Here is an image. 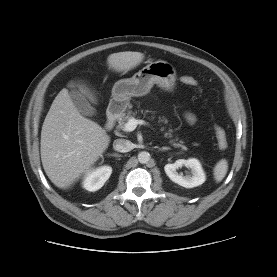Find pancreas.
I'll list each match as a JSON object with an SVG mask.
<instances>
[{
	"instance_id": "cf45deb5",
	"label": "pancreas",
	"mask_w": 277,
	"mask_h": 277,
	"mask_svg": "<svg viewBox=\"0 0 277 277\" xmlns=\"http://www.w3.org/2000/svg\"><path fill=\"white\" fill-rule=\"evenodd\" d=\"M135 115L134 112H132L131 110H127L126 112L122 113L119 118H118V123H119V127L123 128L124 124L133 116ZM160 121L167 123V120L165 118L160 119ZM172 130H169L168 133H165V137L171 138L172 134H171ZM177 141V139H176ZM170 143L174 146V147H181L183 150H186L187 147L183 145V141H179V143H176L174 140H170Z\"/></svg>"
}]
</instances>
